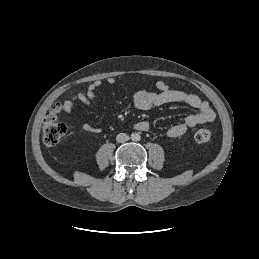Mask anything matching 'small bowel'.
Returning <instances> with one entry per match:
<instances>
[{
	"label": "small bowel",
	"instance_id": "c3829d8e",
	"mask_svg": "<svg viewBox=\"0 0 259 259\" xmlns=\"http://www.w3.org/2000/svg\"><path fill=\"white\" fill-rule=\"evenodd\" d=\"M107 84L112 85L115 79L110 77L106 80ZM102 85L100 80L92 82L85 91H80L71 99L63 103V109L66 113H71L76 100L86 106H92L95 102V92ZM157 91L141 90L133 96V105L138 110L147 111L154 107L161 106L166 103L180 102L195 108V113L189 114L185 119L175 125L170 126L165 134L168 137L176 138L184 135L189 128L199 124L211 122L215 118V112L208 102L202 100L197 95L184 90L172 89L164 81L156 82ZM87 132L97 133L100 131L98 127L85 123L82 126ZM135 128L139 131H149L151 124L148 121H139L135 124Z\"/></svg>",
	"mask_w": 259,
	"mask_h": 259
}]
</instances>
